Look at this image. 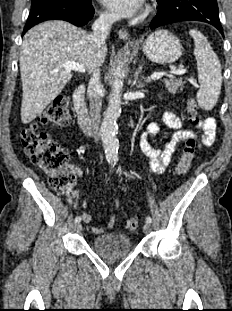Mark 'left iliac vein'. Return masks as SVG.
<instances>
[{
  "instance_id": "1",
  "label": "left iliac vein",
  "mask_w": 232,
  "mask_h": 311,
  "mask_svg": "<svg viewBox=\"0 0 232 311\" xmlns=\"http://www.w3.org/2000/svg\"><path fill=\"white\" fill-rule=\"evenodd\" d=\"M151 230V225L150 223H146L144 226H143V231L144 233H149Z\"/></svg>"
}]
</instances>
